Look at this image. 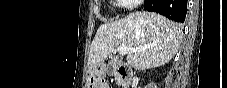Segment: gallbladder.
Wrapping results in <instances>:
<instances>
[{"label":"gallbladder","mask_w":227,"mask_h":88,"mask_svg":"<svg viewBox=\"0 0 227 88\" xmlns=\"http://www.w3.org/2000/svg\"><path fill=\"white\" fill-rule=\"evenodd\" d=\"M107 74L111 75L112 74V67L111 65H108V71Z\"/></svg>","instance_id":"gallbladder-1"}]
</instances>
